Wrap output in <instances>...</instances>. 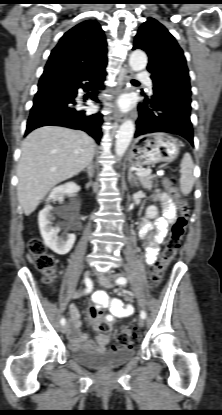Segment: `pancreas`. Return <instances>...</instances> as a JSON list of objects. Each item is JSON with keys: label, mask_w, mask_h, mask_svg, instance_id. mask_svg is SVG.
Wrapping results in <instances>:
<instances>
[{"label": "pancreas", "mask_w": 222, "mask_h": 415, "mask_svg": "<svg viewBox=\"0 0 222 415\" xmlns=\"http://www.w3.org/2000/svg\"><path fill=\"white\" fill-rule=\"evenodd\" d=\"M155 175L152 174H143L138 175L137 179L139 183L143 186V188L150 189L153 186V180L155 179Z\"/></svg>", "instance_id": "1"}]
</instances>
